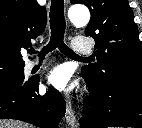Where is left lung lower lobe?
I'll return each instance as SVG.
<instances>
[{"instance_id": "left-lung-lower-lobe-1", "label": "left lung lower lobe", "mask_w": 142, "mask_h": 128, "mask_svg": "<svg viewBox=\"0 0 142 128\" xmlns=\"http://www.w3.org/2000/svg\"><path fill=\"white\" fill-rule=\"evenodd\" d=\"M82 75L90 98L83 102L81 128H142V86L118 82L100 86L83 70Z\"/></svg>"}]
</instances>
